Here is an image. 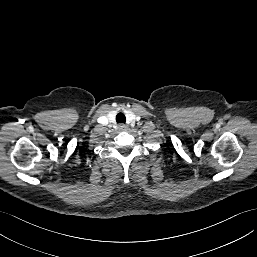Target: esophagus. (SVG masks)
<instances>
[{"mask_svg": "<svg viewBox=\"0 0 257 257\" xmlns=\"http://www.w3.org/2000/svg\"><path fill=\"white\" fill-rule=\"evenodd\" d=\"M119 129H120L121 131H125V130L127 129V126H126L125 124H120V125H119Z\"/></svg>", "mask_w": 257, "mask_h": 257, "instance_id": "1", "label": "esophagus"}]
</instances>
